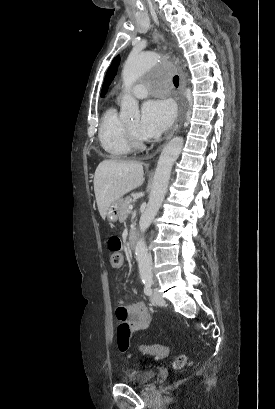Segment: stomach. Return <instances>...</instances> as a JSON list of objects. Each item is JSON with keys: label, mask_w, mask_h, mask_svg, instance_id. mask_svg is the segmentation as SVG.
Returning a JSON list of instances; mask_svg holds the SVG:
<instances>
[{"label": "stomach", "mask_w": 275, "mask_h": 409, "mask_svg": "<svg viewBox=\"0 0 275 409\" xmlns=\"http://www.w3.org/2000/svg\"><path fill=\"white\" fill-rule=\"evenodd\" d=\"M122 202H123V198H117V200H114V202H112V205L108 207L106 217L109 223H116V221H118V217L120 215V211L122 207Z\"/></svg>", "instance_id": "0dacf381"}]
</instances>
